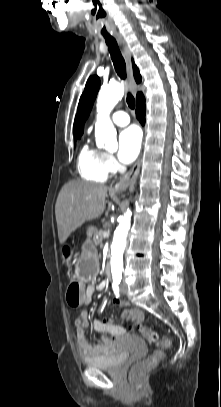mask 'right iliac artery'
<instances>
[{"label":"right iliac artery","mask_w":221,"mask_h":407,"mask_svg":"<svg viewBox=\"0 0 221 407\" xmlns=\"http://www.w3.org/2000/svg\"><path fill=\"white\" fill-rule=\"evenodd\" d=\"M113 291H114L116 297H118L120 295L119 283L118 282L113 283Z\"/></svg>","instance_id":"obj_1"}]
</instances>
